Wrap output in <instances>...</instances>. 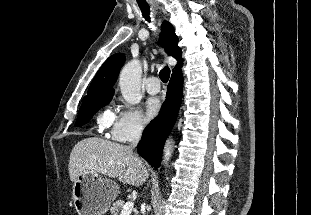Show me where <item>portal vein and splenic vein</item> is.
I'll return each mask as SVG.
<instances>
[{
	"label": "portal vein and splenic vein",
	"instance_id": "18ae733b",
	"mask_svg": "<svg viewBox=\"0 0 311 215\" xmlns=\"http://www.w3.org/2000/svg\"><path fill=\"white\" fill-rule=\"evenodd\" d=\"M133 207H134V203L133 202L125 203L120 215H130V213L132 212Z\"/></svg>",
	"mask_w": 311,
	"mask_h": 215
}]
</instances>
